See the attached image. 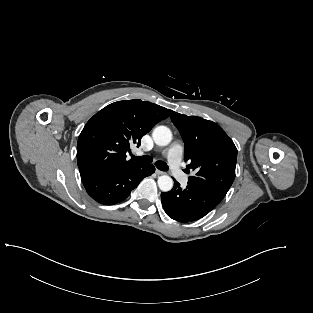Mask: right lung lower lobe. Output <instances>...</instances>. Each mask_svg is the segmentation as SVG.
<instances>
[{
    "label": "right lung lower lobe",
    "mask_w": 313,
    "mask_h": 313,
    "mask_svg": "<svg viewBox=\"0 0 313 313\" xmlns=\"http://www.w3.org/2000/svg\"><path fill=\"white\" fill-rule=\"evenodd\" d=\"M154 172L153 165H140L132 169L82 178V182L94 200L104 205H113L126 199L143 178Z\"/></svg>",
    "instance_id": "right-lung-lower-lobe-1"
}]
</instances>
